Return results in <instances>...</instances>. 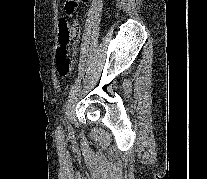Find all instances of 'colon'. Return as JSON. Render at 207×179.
<instances>
[{"instance_id":"5ec220e1","label":"colon","mask_w":207,"mask_h":179,"mask_svg":"<svg viewBox=\"0 0 207 179\" xmlns=\"http://www.w3.org/2000/svg\"><path fill=\"white\" fill-rule=\"evenodd\" d=\"M67 13L77 14L79 0H64ZM79 30L75 25H70L67 21L59 24V41L57 47V70L61 77H67L71 72L72 58L70 51V41L72 35H78Z\"/></svg>"}]
</instances>
